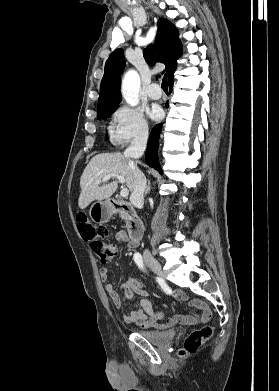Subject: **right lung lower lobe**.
I'll return each mask as SVG.
<instances>
[{
	"mask_svg": "<svg viewBox=\"0 0 279 391\" xmlns=\"http://www.w3.org/2000/svg\"><path fill=\"white\" fill-rule=\"evenodd\" d=\"M173 88V81L169 83V90L171 91ZM162 126L161 124L156 125L152 132L150 133L148 148L145 155V162L152 168L158 170L162 174L161 167L158 162V141L161 132Z\"/></svg>",
	"mask_w": 279,
	"mask_h": 391,
	"instance_id": "right-lung-lower-lobe-1",
	"label": "right lung lower lobe"
}]
</instances>
